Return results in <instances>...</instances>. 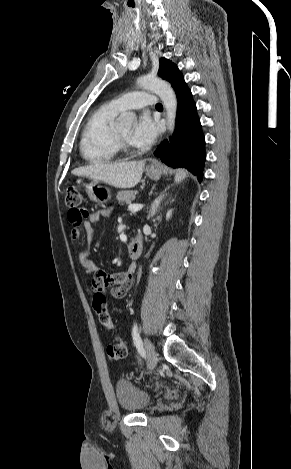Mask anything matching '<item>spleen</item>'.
<instances>
[{"mask_svg":"<svg viewBox=\"0 0 291 469\" xmlns=\"http://www.w3.org/2000/svg\"><path fill=\"white\" fill-rule=\"evenodd\" d=\"M186 171L181 169L177 172L175 181L176 182H181L185 177H186Z\"/></svg>","mask_w":291,"mask_h":469,"instance_id":"3e777b00","label":"spleen"}]
</instances>
